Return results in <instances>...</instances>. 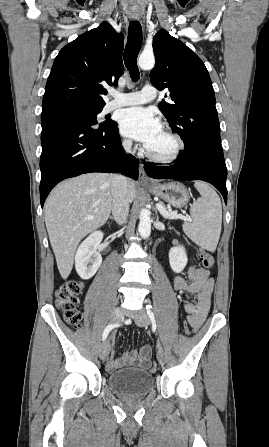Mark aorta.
Returning a JSON list of instances; mask_svg holds the SVG:
<instances>
[{
  "instance_id": "obj_1",
  "label": "aorta",
  "mask_w": 269,
  "mask_h": 447,
  "mask_svg": "<svg viewBox=\"0 0 269 447\" xmlns=\"http://www.w3.org/2000/svg\"><path fill=\"white\" fill-rule=\"evenodd\" d=\"M138 66L141 70H152L155 66L154 54H141L138 60ZM140 222L138 231L142 237H149L151 233V218L148 210L140 212Z\"/></svg>"
}]
</instances>
